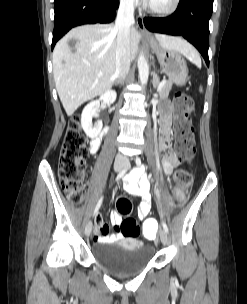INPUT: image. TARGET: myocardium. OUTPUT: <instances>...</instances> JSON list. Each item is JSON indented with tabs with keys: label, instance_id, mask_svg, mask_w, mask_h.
Wrapping results in <instances>:
<instances>
[{
	"label": "myocardium",
	"instance_id": "myocardium-1",
	"mask_svg": "<svg viewBox=\"0 0 247 304\" xmlns=\"http://www.w3.org/2000/svg\"><path fill=\"white\" fill-rule=\"evenodd\" d=\"M180 4V0H172L170 6L164 10H157L153 8L149 3L145 6L146 11L155 17L165 18L173 15Z\"/></svg>",
	"mask_w": 247,
	"mask_h": 304
}]
</instances>
